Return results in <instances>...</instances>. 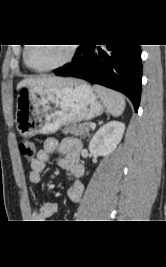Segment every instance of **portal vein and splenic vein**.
I'll return each instance as SVG.
<instances>
[{"label":"portal vein and splenic vein","mask_w":166,"mask_h":267,"mask_svg":"<svg viewBox=\"0 0 166 267\" xmlns=\"http://www.w3.org/2000/svg\"><path fill=\"white\" fill-rule=\"evenodd\" d=\"M95 127H96L95 124H91V125H90V128H91V129H95Z\"/></svg>","instance_id":"18ae733b"}]
</instances>
